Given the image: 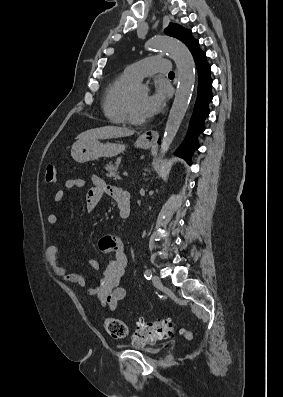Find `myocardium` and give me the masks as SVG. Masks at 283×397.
<instances>
[{
  "label": "myocardium",
  "instance_id": "f54148a6",
  "mask_svg": "<svg viewBox=\"0 0 283 397\" xmlns=\"http://www.w3.org/2000/svg\"><path fill=\"white\" fill-rule=\"evenodd\" d=\"M126 119L129 123L133 124V125H141L144 124L147 119L144 118H139L136 116L135 112H134V107H133V101H132V95L130 94L127 100V104H126Z\"/></svg>",
  "mask_w": 283,
  "mask_h": 397
}]
</instances>
